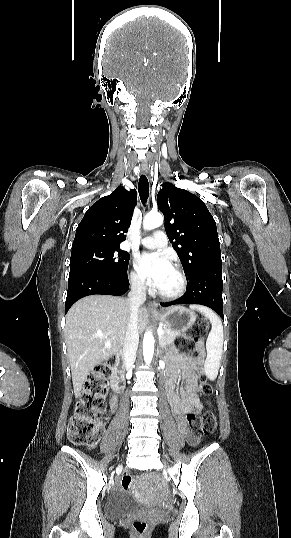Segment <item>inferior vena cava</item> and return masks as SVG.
<instances>
[{
	"mask_svg": "<svg viewBox=\"0 0 291 538\" xmlns=\"http://www.w3.org/2000/svg\"><path fill=\"white\" fill-rule=\"evenodd\" d=\"M146 301V288L143 280L136 279L132 282L131 291L128 294L130 317L127 324L125 340L123 344V358L125 367L131 370L135 360L139 344V332L137 327V313L141 305Z\"/></svg>",
	"mask_w": 291,
	"mask_h": 538,
	"instance_id": "inferior-vena-cava-1",
	"label": "inferior vena cava"
}]
</instances>
